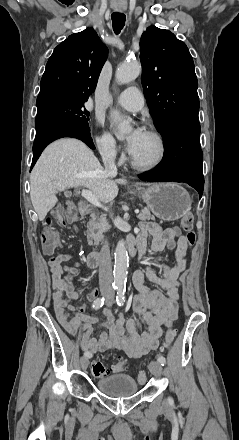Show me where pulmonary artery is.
<instances>
[{
    "mask_svg": "<svg viewBox=\"0 0 239 440\" xmlns=\"http://www.w3.org/2000/svg\"><path fill=\"white\" fill-rule=\"evenodd\" d=\"M117 103L130 111H139L144 106V99L135 87L125 89L117 98Z\"/></svg>",
    "mask_w": 239,
    "mask_h": 440,
    "instance_id": "pulmonary-artery-1",
    "label": "pulmonary artery"
}]
</instances>
